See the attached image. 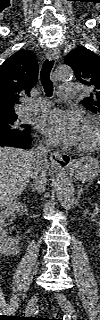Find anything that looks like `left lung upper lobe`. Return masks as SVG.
<instances>
[{"instance_id":"5c2ea615","label":"left lung upper lobe","mask_w":100,"mask_h":320,"mask_svg":"<svg viewBox=\"0 0 100 320\" xmlns=\"http://www.w3.org/2000/svg\"><path fill=\"white\" fill-rule=\"evenodd\" d=\"M65 63L73 68L81 83L92 88L91 95L81 103L91 112L100 114V57L85 47H77L68 53Z\"/></svg>"}]
</instances>
